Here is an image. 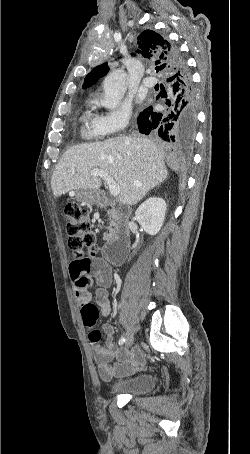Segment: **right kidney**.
I'll list each match as a JSON object with an SVG mask.
<instances>
[{
  "mask_svg": "<svg viewBox=\"0 0 250 454\" xmlns=\"http://www.w3.org/2000/svg\"><path fill=\"white\" fill-rule=\"evenodd\" d=\"M167 205L159 197H150L136 210L135 217L146 233L156 235L163 226Z\"/></svg>",
  "mask_w": 250,
  "mask_h": 454,
  "instance_id": "obj_1",
  "label": "right kidney"
}]
</instances>
